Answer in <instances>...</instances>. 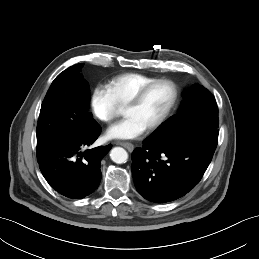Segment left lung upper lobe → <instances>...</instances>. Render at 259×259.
I'll list each match as a JSON object with an SVG mask.
<instances>
[{"mask_svg": "<svg viewBox=\"0 0 259 259\" xmlns=\"http://www.w3.org/2000/svg\"><path fill=\"white\" fill-rule=\"evenodd\" d=\"M218 107L214 96L201 85H193L184 94L180 111L160 126L150 138L167 142L189 129H218Z\"/></svg>", "mask_w": 259, "mask_h": 259, "instance_id": "obj_1", "label": "left lung upper lobe"}]
</instances>
